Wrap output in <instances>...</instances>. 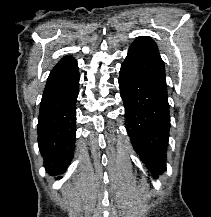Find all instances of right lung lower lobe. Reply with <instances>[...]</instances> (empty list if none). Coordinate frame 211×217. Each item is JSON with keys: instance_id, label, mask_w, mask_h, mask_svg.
Instances as JSON below:
<instances>
[{"instance_id": "98d812e1", "label": "right lung lower lobe", "mask_w": 211, "mask_h": 217, "mask_svg": "<svg viewBox=\"0 0 211 217\" xmlns=\"http://www.w3.org/2000/svg\"><path fill=\"white\" fill-rule=\"evenodd\" d=\"M79 72L63 85L45 89L38 119V144L51 175L63 174L73 157Z\"/></svg>"}]
</instances>
